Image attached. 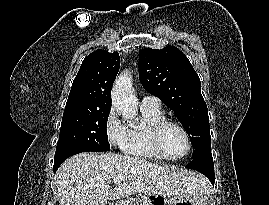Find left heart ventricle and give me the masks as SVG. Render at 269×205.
Masks as SVG:
<instances>
[{"instance_id":"left-heart-ventricle-1","label":"left heart ventricle","mask_w":269,"mask_h":205,"mask_svg":"<svg viewBox=\"0 0 269 205\" xmlns=\"http://www.w3.org/2000/svg\"><path fill=\"white\" fill-rule=\"evenodd\" d=\"M162 146L169 156L180 157L187 151V140L180 129L169 126L163 133Z\"/></svg>"}]
</instances>
